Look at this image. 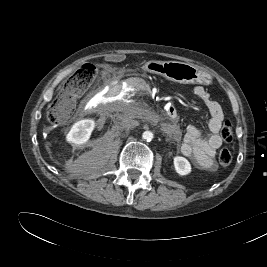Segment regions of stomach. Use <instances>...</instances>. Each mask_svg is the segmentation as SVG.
Masks as SVG:
<instances>
[{
	"label": "stomach",
	"instance_id": "stomach-1",
	"mask_svg": "<svg viewBox=\"0 0 267 267\" xmlns=\"http://www.w3.org/2000/svg\"><path fill=\"white\" fill-rule=\"evenodd\" d=\"M143 68L149 73L164 76L178 83H199L204 85L211 83V76L208 73L184 62L150 60L144 64Z\"/></svg>",
	"mask_w": 267,
	"mask_h": 267
}]
</instances>
